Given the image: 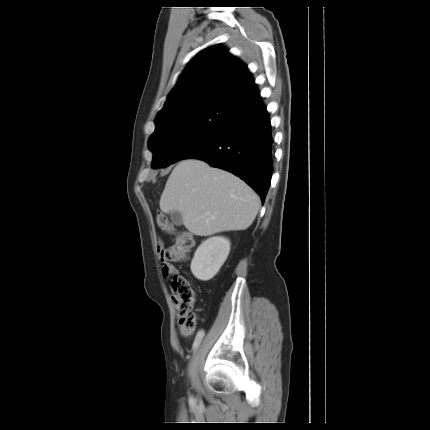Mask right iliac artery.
<instances>
[{
  "label": "right iliac artery",
  "instance_id": "1",
  "mask_svg": "<svg viewBox=\"0 0 430 430\" xmlns=\"http://www.w3.org/2000/svg\"><path fill=\"white\" fill-rule=\"evenodd\" d=\"M202 338H203V330H198L197 336L192 346L193 350H196L198 348V346L200 345V342L202 341Z\"/></svg>",
  "mask_w": 430,
  "mask_h": 430
}]
</instances>
